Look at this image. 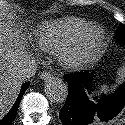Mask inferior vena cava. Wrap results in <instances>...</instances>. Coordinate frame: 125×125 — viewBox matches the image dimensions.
<instances>
[{"mask_svg":"<svg viewBox=\"0 0 125 125\" xmlns=\"http://www.w3.org/2000/svg\"><path fill=\"white\" fill-rule=\"evenodd\" d=\"M36 68H37V64L33 61H29L24 65L22 64V67L19 71V77L21 79L32 77L33 75H35Z\"/></svg>","mask_w":125,"mask_h":125,"instance_id":"602c4592","label":"inferior vena cava"}]
</instances>
